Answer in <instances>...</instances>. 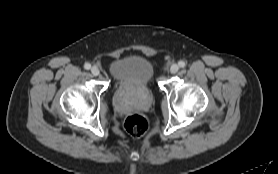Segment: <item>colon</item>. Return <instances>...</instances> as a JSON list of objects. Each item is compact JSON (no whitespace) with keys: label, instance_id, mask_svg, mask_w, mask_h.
I'll list each match as a JSON object with an SVG mask.
<instances>
[{"label":"colon","instance_id":"colon-1","mask_svg":"<svg viewBox=\"0 0 278 174\" xmlns=\"http://www.w3.org/2000/svg\"><path fill=\"white\" fill-rule=\"evenodd\" d=\"M149 127L147 117L141 113L128 115L124 120L125 130L133 136H141L146 133Z\"/></svg>","mask_w":278,"mask_h":174}]
</instances>
